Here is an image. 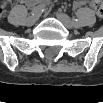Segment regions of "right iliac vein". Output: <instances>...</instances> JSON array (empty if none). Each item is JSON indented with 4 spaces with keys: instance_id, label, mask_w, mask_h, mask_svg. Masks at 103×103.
Masks as SVG:
<instances>
[{
    "instance_id": "obj_1",
    "label": "right iliac vein",
    "mask_w": 103,
    "mask_h": 103,
    "mask_svg": "<svg viewBox=\"0 0 103 103\" xmlns=\"http://www.w3.org/2000/svg\"><path fill=\"white\" fill-rule=\"evenodd\" d=\"M36 21H37V17L36 16H30V17H28V19L26 21V24L28 26H32V25H34L36 23Z\"/></svg>"
}]
</instances>
